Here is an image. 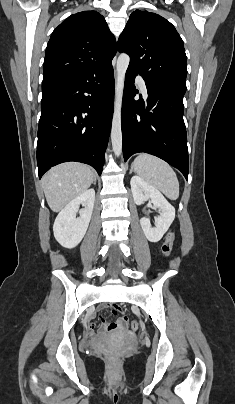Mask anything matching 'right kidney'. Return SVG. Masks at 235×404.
<instances>
[{
	"mask_svg": "<svg viewBox=\"0 0 235 404\" xmlns=\"http://www.w3.org/2000/svg\"><path fill=\"white\" fill-rule=\"evenodd\" d=\"M95 200L94 189H89L70 201L58 214L54 226V237L65 248L76 247L86 234ZM80 217L76 218L79 206Z\"/></svg>",
	"mask_w": 235,
	"mask_h": 404,
	"instance_id": "ca27d5eb",
	"label": "right kidney"
}]
</instances>
